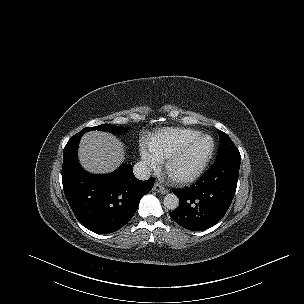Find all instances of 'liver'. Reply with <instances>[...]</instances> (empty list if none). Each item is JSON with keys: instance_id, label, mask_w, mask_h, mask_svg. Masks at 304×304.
Returning <instances> with one entry per match:
<instances>
[{"instance_id": "obj_1", "label": "liver", "mask_w": 304, "mask_h": 304, "mask_svg": "<svg viewBox=\"0 0 304 304\" xmlns=\"http://www.w3.org/2000/svg\"><path fill=\"white\" fill-rule=\"evenodd\" d=\"M82 166L91 173H110L124 161V147L115 136L101 131L83 135L79 150Z\"/></svg>"}]
</instances>
